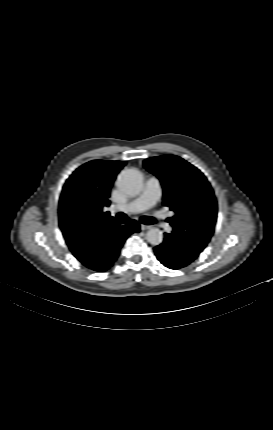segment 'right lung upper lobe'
Wrapping results in <instances>:
<instances>
[{"mask_svg": "<svg viewBox=\"0 0 273 430\" xmlns=\"http://www.w3.org/2000/svg\"><path fill=\"white\" fill-rule=\"evenodd\" d=\"M125 164L122 161H90L74 171L63 186L59 225L78 260L88 255L95 234L118 225L103 208L109 206L110 189Z\"/></svg>", "mask_w": 273, "mask_h": 430, "instance_id": "right-lung-upper-lobe-1", "label": "right lung upper lobe"}]
</instances>
